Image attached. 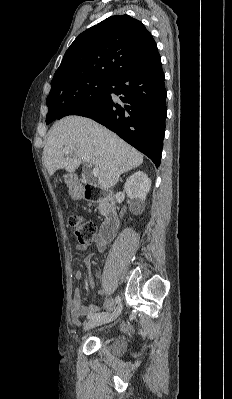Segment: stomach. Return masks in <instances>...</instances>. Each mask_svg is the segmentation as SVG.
I'll use <instances>...</instances> for the list:
<instances>
[{"mask_svg":"<svg viewBox=\"0 0 232 399\" xmlns=\"http://www.w3.org/2000/svg\"><path fill=\"white\" fill-rule=\"evenodd\" d=\"M64 182H65L67 188H69L70 192H72L73 196H75V198H82L81 192H78L76 186H74V184H73L74 174H65Z\"/></svg>","mask_w":232,"mask_h":399,"instance_id":"stomach-1","label":"stomach"}]
</instances>
